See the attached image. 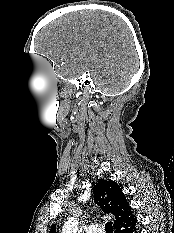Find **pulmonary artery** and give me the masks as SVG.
Returning a JSON list of instances; mask_svg holds the SVG:
<instances>
[{
    "label": "pulmonary artery",
    "mask_w": 174,
    "mask_h": 233,
    "mask_svg": "<svg viewBox=\"0 0 174 233\" xmlns=\"http://www.w3.org/2000/svg\"><path fill=\"white\" fill-rule=\"evenodd\" d=\"M86 233H104V230L102 226L98 224H92L87 228Z\"/></svg>",
    "instance_id": "obj_1"
}]
</instances>
